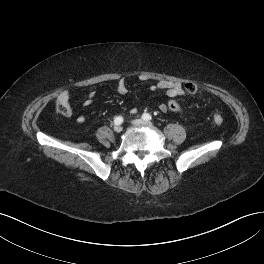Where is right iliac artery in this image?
I'll return each mask as SVG.
<instances>
[{"label":"right iliac artery","instance_id":"obj_1","mask_svg":"<svg viewBox=\"0 0 264 264\" xmlns=\"http://www.w3.org/2000/svg\"><path fill=\"white\" fill-rule=\"evenodd\" d=\"M123 122V117L118 116L114 119V124L115 125H120Z\"/></svg>","mask_w":264,"mask_h":264}]
</instances>
